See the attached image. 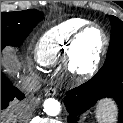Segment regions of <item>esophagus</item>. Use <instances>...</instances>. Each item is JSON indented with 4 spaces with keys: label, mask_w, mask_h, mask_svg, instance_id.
I'll return each instance as SVG.
<instances>
[{
    "label": "esophagus",
    "mask_w": 123,
    "mask_h": 123,
    "mask_svg": "<svg viewBox=\"0 0 123 123\" xmlns=\"http://www.w3.org/2000/svg\"><path fill=\"white\" fill-rule=\"evenodd\" d=\"M57 95V89L55 87H49L45 90V96H55Z\"/></svg>",
    "instance_id": "esophagus-1"
}]
</instances>
